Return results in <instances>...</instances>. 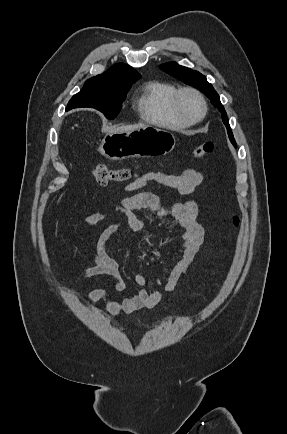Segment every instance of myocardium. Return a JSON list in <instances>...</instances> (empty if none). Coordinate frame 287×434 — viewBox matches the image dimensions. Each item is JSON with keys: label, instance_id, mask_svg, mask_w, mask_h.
Listing matches in <instances>:
<instances>
[{"label": "myocardium", "instance_id": "f54148a6", "mask_svg": "<svg viewBox=\"0 0 287 434\" xmlns=\"http://www.w3.org/2000/svg\"><path fill=\"white\" fill-rule=\"evenodd\" d=\"M187 94L196 97L201 105V113L197 117L188 116L182 109V98ZM171 105L174 114L187 124H194L201 121L205 117L207 112V104L203 94L193 87H183L176 90L175 94L172 97Z\"/></svg>", "mask_w": 287, "mask_h": 434}]
</instances>
